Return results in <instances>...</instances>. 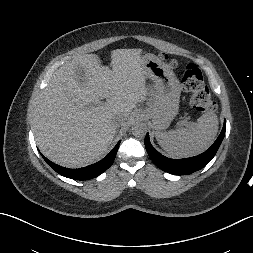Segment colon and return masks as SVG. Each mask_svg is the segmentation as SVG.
Returning a JSON list of instances; mask_svg holds the SVG:
<instances>
[{
	"label": "colon",
	"instance_id": "1",
	"mask_svg": "<svg viewBox=\"0 0 253 253\" xmlns=\"http://www.w3.org/2000/svg\"><path fill=\"white\" fill-rule=\"evenodd\" d=\"M162 57L168 59L166 55H162ZM170 63L171 65L175 64L174 61ZM182 87L190 93L191 105L197 112L208 113L216 109L217 104L205 84L200 68L196 64L189 63L186 66L182 78Z\"/></svg>",
	"mask_w": 253,
	"mask_h": 253
}]
</instances>
